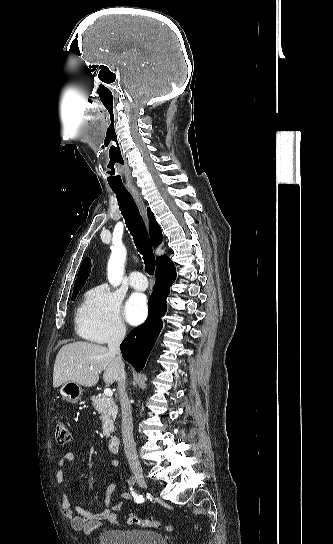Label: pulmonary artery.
<instances>
[{
    "label": "pulmonary artery",
    "mask_w": 333,
    "mask_h": 544,
    "mask_svg": "<svg viewBox=\"0 0 333 544\" xmlns=\"http://www.w3.org/2000/svg\"><path fill=\"white\" fill-rule=\"evenodd\" d=\"M130 285L136 290H145L148 282L145 275L140 271H134L129 276Z\"/></svg>",
    "instance_id": "pulmonary-artery-1"
}]
</instances>
